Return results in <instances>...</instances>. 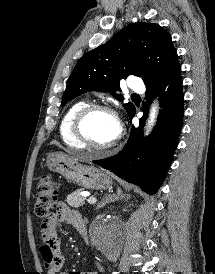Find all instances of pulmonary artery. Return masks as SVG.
Here are the masks:
<instances>
[{"instance_id": "e3ab8cb5", "label": "pulmonary artery", "mask_w": 215, "mask_h": 274, "mask_svg": "<svg viewBox=\"0 0 215 274\" xmlns=\"http://www.w3.org/2000/svg\"><path fill=\"white\" fill-rule=\"evenodd\" d=\"M128 86L132 91H135V92H143L145 89L142 81L137 78L130 80Z\"/></svg>"}]
</instances>
